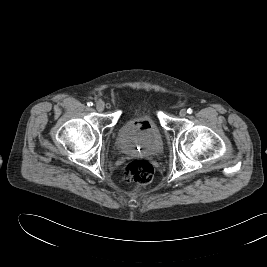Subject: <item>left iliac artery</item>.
Listing matches in <instances>:
<instances>
[{
	"label": "left iliac artery",
	"mask_w": 267,
	"mask_h": 267,
	"mask_svg": "<svg viewBox=\"0 0 267 267\" xmlns=\"http://www.w3.org/2000/svg\"><path fill=\"white\" fill-rule=\"evenodd\" d=\"M187 113H188V114H192V113H193V110H192L191 108H189V109L187 110Z\"/></svg>",
	"instance_id": "obj_1"
}]
</instances>
